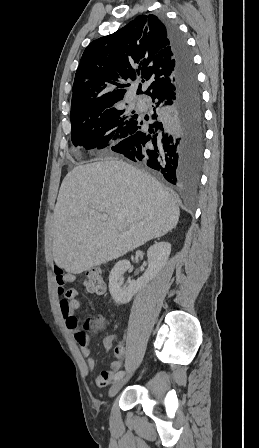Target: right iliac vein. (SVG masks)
I'll list each match as a JSON object with an SVG mask.
<instances>
[{"label":"right iliac vein","instance_id":"63e3f726","mask_svg":"<svg viewBox=\"0 0 259 448\" xmlns=\"http://www.w3.org/2000/svg\"><path fill=\"white\" fill-rule=\"evenodd\" d=\"M125 382L126 379L123 378L115 381L111 386V388L109 389V397H114L121 390Z\"/></svg>","mask_w":259,"mask_h":448}]
</instances>
